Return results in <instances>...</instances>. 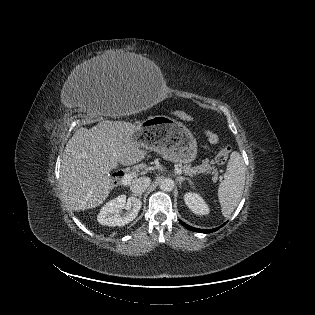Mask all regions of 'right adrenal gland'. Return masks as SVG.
<instances>
[{"mask_svg": "<svg viewBox=\"0 0 315 315\" xmlns=\"http://www.w3.org/2000/svg\"><path fill=\"white\" fill-rule=\"evenodd\" d=\"M133 196H135V197H139V199L141 198V196H142V193H140V194H132Z\"/></svg>", "mask_w": 315, "mask_h": 315, "instance_id": "right-adrenal-gland-1", "label": "right adrenal gland"}]
</instances>
